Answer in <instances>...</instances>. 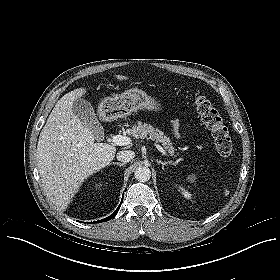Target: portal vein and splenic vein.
Segmentation results:
<instances>
[{"instance_id": "18ae733b", "label": "portal vein and splenic vein", "mask_w": 280, "mask_h": 280, "mask_svg": "<svg viewBox=\"0 0 280 280\" xmlns=\"http://www.w3.org/2000/svg\"><path fill=\"white\" fill-rule=\"evenodd\" d=\"M112 142L119 146H125L131 143V138L123 135H114ZM155 146L161 153L167 155L166 151L159 144H155Z\"/></svg>"}]
</instances>
